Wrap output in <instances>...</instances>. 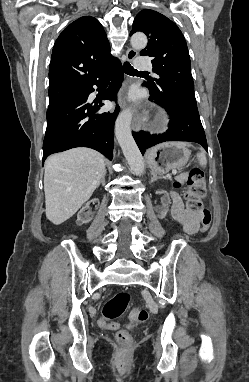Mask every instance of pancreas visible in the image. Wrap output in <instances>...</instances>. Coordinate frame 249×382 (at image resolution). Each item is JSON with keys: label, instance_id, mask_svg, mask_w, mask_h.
I'll list each match as a JSON object with an SVG mask.
<instances>
[{"label": "pancreas", "instance_id": "obj_1", "mask_svg": "<svg viewBox=\"0 0 249 382\" xmlns=\"http://www.w3.org/2000/svg\"><path fill=\"white\" fill-rule=\"evenodd\" d=\"M186 178H187V175H186V174H181V175H179V176L176 177V180H177L178 182H180V183H184L185 180H186Z\"/></svg>", "mask_w": 249, "mask_h": 382}]
</instances>
